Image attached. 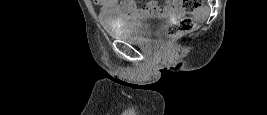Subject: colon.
I'll list each match as a JSON object with an SVG mask.
<instances>
[{
	"label": "colon",
	"mask_w": 267,
	"mask_h": 115,
	"mask_svg": "<svg viewBox=\"0 0 267 115\" xmlns=\"http://www.w3.org/2000/svg\"><path fill=\"white\" fill-rule=\"evenodd\" d=\"M184 5L188 10H197L201 6L200 0H185ZM195 28V21L192 18H183L176 24L168 26L161 36L166 42L173 41Z\"/></svg>",
	"instance_id": "colon-1"
}]
</instances>
